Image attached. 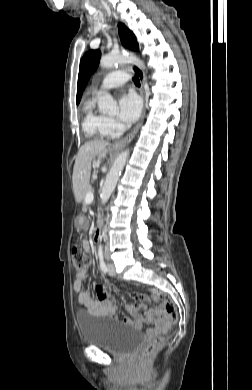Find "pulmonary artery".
Returning <instances> with one entry per match:
<instances>
[{
  "instance_id": "1",
  "label": "pulmonary artery",
  "mask_w": 252,
  "mask_h": 390,
  "mask_svg": "<svg viewBox=\"0 0 252 390\" xmlns=\"http://www.w3.org/2000/svg\"><path fill=\"white\" fill-rule=\"evenodd\" d=\"M129 78H130V74L126 71H122V70L113 71L104 77V79L102 80L99 86V90L103 91V90L119 87L123 85L126 81H128Z\"/></svg>"
}]
</instances>
